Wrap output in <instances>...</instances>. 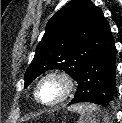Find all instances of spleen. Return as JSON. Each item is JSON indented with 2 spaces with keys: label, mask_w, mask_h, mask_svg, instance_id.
Returning <instances> with one entry per match:
<instances>
[{
  "label": "spleen",
  "mask_w": 122,
  "mask_h": 123,
  "mask_svg": "<svg viewBox=\"0 0 122 123\" xmlns=\"http://www.w3.org/2000/svg\"><path fill=\"white\" fill-rule=\"evenodd\" d=\"M71 110L80 114L78 123H99L97 118L100 116L104 123H109L106 112L95 104H76L71 107Z\"/></svg>",
  "instance_id": "spleen-1"
}]
</instances>
